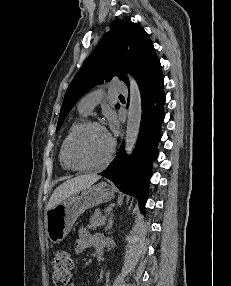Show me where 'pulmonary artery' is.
<instances>
[{"label":"pulmonary artery","mask_w":231,"mask_h":286,"mask_svg":"<svg viewBox=\"0 0 231 286\" xmlns=\"http://www.w3.org/2000/svg\"><path fill=\"white\" fill-rule=\"evenodd\" d=\"M111 89L115 93L126 94L128 92L127 86L119 81L112 82ZM103 99V92L101 90L93 91L85 95L78 104V109L83 114H89L94 107Z\"/></svg>","instance_id":"1"}]
</instances>
